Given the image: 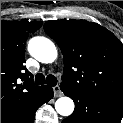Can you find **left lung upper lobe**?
Here are the masks:
<instances>
[{
	"mask_svg": "<svg viewBox=\"0 0 123 123\" xmlns=\"http://www.w3.org/2000/svg\"><path fill=\"white\" fill-rule=\"evenodd\" d=\"M45 32L64 57L62 85L123 106V44L101 25L86 20H52Z\"/></svg>",
	"mask_w": 123,
	"mask_h": 123,
	"instance_id": "1",
	"label": "left lung upper lobe"
}]
</instances>
